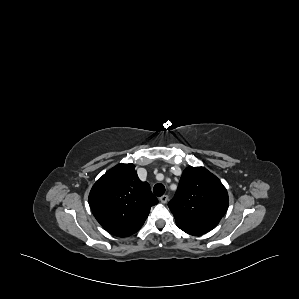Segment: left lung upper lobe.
Returning a JSON list of instances; mask_svg holds the SVG:
<instances>
[{
	"mask_svg": "<svg viewBox=\"0 0 299 299\" xmlns=\"http://www.w3.org/2000/svg\"><path fill=\"white\" fill-rule=\"evenodd\" d=\"M177 226L201 235L217 226L228 208V193L221 181L204 167L184 170L174 198L168 204Z\"/></svg>",
	"mask_w": 299,
	"mask_h": 299,
	"instance_id": "left-lung-upper-lobe-1",
	"label": "left lung upper lobe"
}]
</instances>
